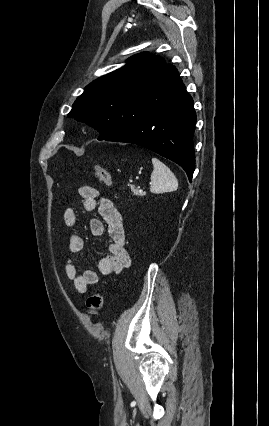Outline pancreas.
I'll use <instances>...</instances> for the list:
<instances>
[{
	"label": "pancreas",
	"mask_w": 269,
	"mask_h": 426,
	"mask_svg": "<svg viewBox=\"0 0 269 426\" xmlns=\"http://www.w3.org/2000/svg\"><path fill=\"white\" fill-rule=\"evenodd\" d=\"M131 191L133 192V195L135 196H144L145 193H140L139 190L137 188H135L134 185H131Z\"/></svg>",
	"instance_id": "obj_1"
}]
</instances>
